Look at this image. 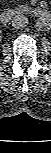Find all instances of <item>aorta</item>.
I'll list each match as a JSON object with an SVG mask.
<instances>
[{
    "mask_svg": "<svg viewBox=\"0 0 51 153\" xmlns=\"http://www.w3.org/2000/svg\"><path fill=\"white\" fill-rule=\"evenodd\" d=\"M51 19L48 16H41L35 22V27L39 31H47L50 29Z\"/></svg>",
    "mask_w": 51,
    "mask_h": 153,
    "instance_id": "762f6f07",
    "label": "aorta"
}]
</instances>
